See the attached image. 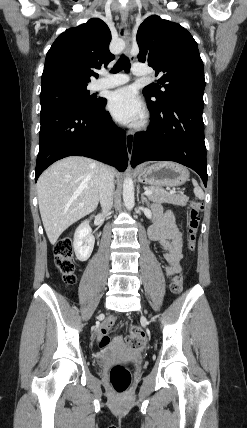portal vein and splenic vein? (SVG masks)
Returning a JSON list of instances; mask_svg holds the SVG:
<instances>
[{
  "label": "portal vein and splenic vein",
  "mask_w": 247,
  "mask_h": 428,
  "mask_svg": "<svg viewBox=\"0 0 247 428\" xmlns=\"http://www.w3.org/2000/svg\"><path fill=\"white\" fill-rule=\"evenodd\" d=\"M170 193H171V194H173V193H175V191L171 190V191H170ZM144 194H145V195H151V194H152V191H151V190H149V189H147V190H145ZM80 206H83V204H81Z\"/></svg>",
  "instance_id": "1"
}]
</instances>
